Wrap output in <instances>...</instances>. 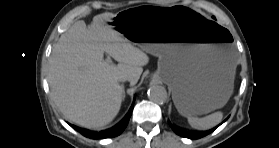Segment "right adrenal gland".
<instances>
[{
    "label": "right adrenal gland",
    "instance_id": "right-adrenal-gland-1",
    "mask_svg": "<svg viewBox=\"0 0 279 148\" xmlns=\"http://www.w3.org/2000/svg\"><path fill=\"white\" fill-rule=\"evenodd\" d=\"M123 88V100L125 99V91H124V86H122Z\"/></svg>",
    "mask_w": 279,
    "mask_h": 148
}]
</instances>
